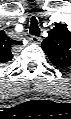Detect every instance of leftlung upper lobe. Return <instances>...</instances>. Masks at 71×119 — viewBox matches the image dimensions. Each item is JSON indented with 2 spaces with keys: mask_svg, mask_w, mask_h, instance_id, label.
I'll list each match as a JSON object with an SVG mask.
<instances>
[{
  "mask_svg": "<svg viewBox=\"0 0 71 119\" xmlns=\"http://www.w3.org/2000/svg\"><path fill=\"white\" fill-rule=\"evenodd\" d=\"M42 49L57 68L71 66V31L67 25L55 24L42 43Z\"/></svg>",
  "mask_w": 71,
  "mask_h": 119,
  "instance_id": "5c2ea615",
  "label": "left lung upper lobe"
}]
</instances>
